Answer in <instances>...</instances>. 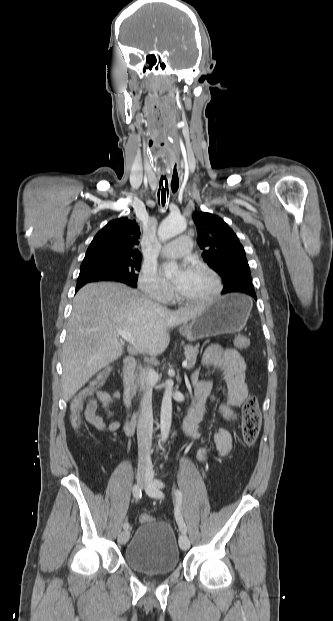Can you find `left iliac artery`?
Instances as JSON below:
<instances>
[{"mask_svg": "<svg viewBox=\"0 0 333 621\" xmlns=\"http://www.w3.org/2000/svg\"><path fill=\"white\" fill-rule=\"evenodd\" d=\"M154 485L158 488H163L165 487V484L163 483V481L159 480V479H155L154 480ZM174 495L176 497V506H175V519L176 522L179 526L180 531L185 534L187 532V527L186 524L184 522V519L182 517V513H181V505H182V492L178 489L174 490Z\"/></svg>", "mask_w": 333, "mask_h": 621, "instance_id": "obj_1", "label": "left iliac artery"}]
</instances>
